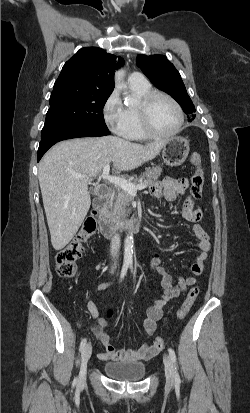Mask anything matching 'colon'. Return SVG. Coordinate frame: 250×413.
Here are the masks:
<instances>
[{
	"label": "colon",
	"mask_w": 250,
	"mask_h": 413,
	"mask_svg": "<svg viewBox=\"0 0 250 413\" xmlns=\"http://www.w3.org/2000/svg\"><path fill=\"white\" fill-rule=\"evenodd\" d=\"M190 161L195 167L194 174L191 177L190 199L195 202L201 197L205 178L201 166V155L193 153L190 157ZM96 230V217L92 214L86 219L77 235L65 247L57 252L55 262L57 273L60 277L72 278L75 276L77 272L76 261L82 256L85 244L96 233ZM198 294V286H194L190 289L186 300L177 312V318L179 320H183L186 317L198 297ZM108 315L110 316L111 312H109ZM153 346L158 350H162L164 347V340L161 337H157L153 342Z\"/></svg>",
	"instance_id": "1"
}]
</instances>
